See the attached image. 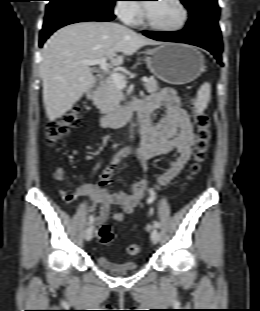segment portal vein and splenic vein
I'll return each mask as SVG.
<instances>
[{"instance_id": "obj_1", "label": "portal vein and splenic vein", "mask_w": 260, "mask_h": 311, "mask_svg": "<svg viewBox=\"0 0 260 311\" xmlns=\"http://www.w3.org/2000/svg\"><path fill=\"white\" fill-rule=\"evenodd\" d=\"M83 64L85 65H99L100 68L106 72L107 74H109V77L112 79V81L116 84V86L120 89H123L126 87V81L124 79V77L119 74V73H110L108 64H107V59L106 58H102V59H97V60H83L82 61ZM143 82H148V78L147 77H143L142 78Z\"/></svg>"}]
</instances>
